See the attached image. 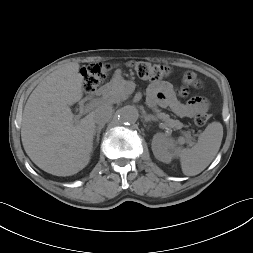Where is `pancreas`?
Returning <instances> with one entry per match:
<instances>
[{
	"mask_svg": "<svg viewBox=\"0 0 253 253\" xmlns=\"http://www.w3.org/2000/svg\"><path fill=\"white\" fill-rule=\"evenodd\" d=\"M132 92L133 90L129 87L128 82L123 79H119L104 87L103 97L108 102L118 103L127 99ZM153 112L156 114L157 118L164 122V126L174 130H179L183 127V124L179 120L171 119L168 114L161 112L159 108L154 107ZM184 134L186 135L187 133Z\"/></svg>",
	"mask_w": 253,
	"mask_h": 253,
	"instance_id": "pancreas-1",
	"label": "pancreas"
}]
</instances>
